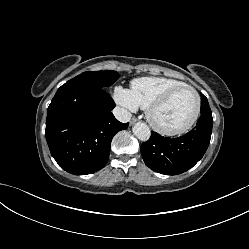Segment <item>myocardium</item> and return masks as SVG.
I'll return each mask as SVG.
<instances>
[{"instance_id":"obj_1","label":"myocardium","mask_w":249,"mask_h":249,"mask_svg":"<svg viewBox=\"0 0 249 249\" xmlns=\"http://www.w3.org/2000/svg\"><path fill=\"white\" fill-rule=\"evenodd\" d=\"M182 89H189L194 93V95L196 97L195 111H194L191 119L184 126H182L180 128H176V129H166V128L160 126L155 121L154 114H155L156 110H158L160 107L165 105L175 93H177L178 91H180ZM200 111H201V97H200L198 91L193 86H191L189 84H182V85H178V86H175V87L169 89L163 95H161L158 99L153 101L147 107L146 114H147L148 122L157 132H159L163 135H166V136H177V135H181V134L187 132L188 130H190L193 127V125L196 123V121L200 115Z\"/></svg>"}]
</instances>
